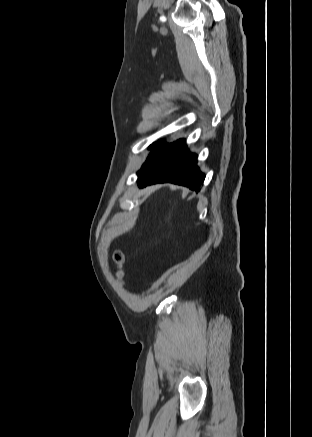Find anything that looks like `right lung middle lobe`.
I'll list each match as a JSON object with an SVG mask.
<instances>
[{
  "label": "right lung middle lobe",
  "mask_w": 312,
  "mask_h": 437,
  "mask_svg": "<svg viewBox=\"0 0 312 437\" xmlns=\"http://www.w3.org/2000/svg\"><path fill=\"white\" fill-rule=\"evenodd\" d=\"M163 145H164V142L162 141V142H160V143H154V144H152V145L150 146V148H155V147H157V148H161V147H163Z\"/></svg>",
  "instance_id": "right-lung-middle-lobe-1"
}]
</instances>
